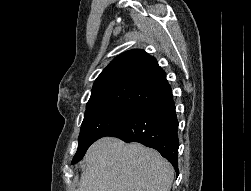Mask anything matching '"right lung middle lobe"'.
<instances>
[{
  "instance_id": "right-lung-middle-lobe-1",
  "label": "right lung middle lobe",
  "mask_w": 251,
  "mask_h": 191,
  "mask_svg": "<svg viewBox=\"0 0 251 191\" xmlns=\"http://www.w3.org/2000/svg\"><path fill=\"white\" fill-rule=\"evenodd\" d=\"M141 109L122 103H110L86 109L78 138V149L72 164L83 158L93 142L124 124Z\"/></svg>"
}]
</instances>
